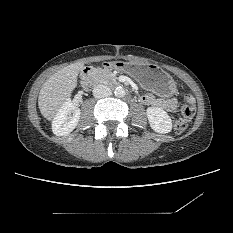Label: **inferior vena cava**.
<instances>
[{
  "label": "inferior vena cava",
  "mask_w": 233,
  "mask_h": 233,
  "mask_svg": "<svg viewBox=\"0 0 233 233\" xmlns=\"http://www.w3.org/2000/svg\"><path fill=\"white\" fill-rule=\"evenodd\" d=\"M111 94H112L111 89L108 86L103 85V84H99L93 89V96L95 98H103V97L110 96Z\"/></svg>",
  "instance_id": "1"
}]
</instances>
